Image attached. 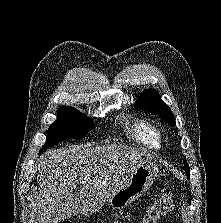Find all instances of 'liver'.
<instances>
[{
	"label": "liver",
	"instance_id": "obj_1",
	"mask_svg": "<svg viewBox=\"0 0 221 223\" xmlns=\"http://www.w3.org/2000/svg\"><path fill=\"white\" fill-rule=\"evenodd\" d=\"M154 159L146 150L121 144L48 150L37 161L34 223H59L73 215L99 211L138 166ZM78 183L81 187L75 195Z\"/></svg>",
	"mask_w": 221,
	"mask_h": 223
}]
</instances>
